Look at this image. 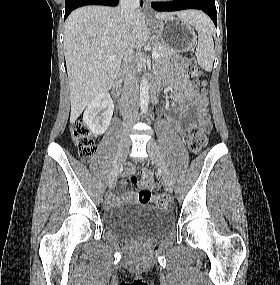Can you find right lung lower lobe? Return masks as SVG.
<instances>
[{"label":"right lung lower lobe","instance_id":"98d812e1","mask_svg":"<svg viewBox=\"0 0 280 285\" xmlns=\"http://www.w3.org/2000/svg\"><path fill=\"white\" fill-rule=\"evenodd\" d=\"M119 0H65V16L64 20L68 15L76 8L85 5H105V6H116ZM142 5V2H141Z\"/></svg>","mask_w":280,"mask_h":285}]
</instances>
